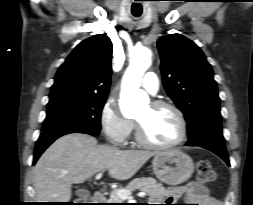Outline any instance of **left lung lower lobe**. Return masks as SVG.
<instances>
[{
  "label": "left lung lower lobe",
  "instance_id": "0a47b994",
  "mask_svg": "<svg viewBox=\"0 0 253 205\" xmlns=\"http://www.w3.org/2000/svg\"><path fill=\"white\" fill-rule=\"evenodd\" d=\"M192 146H199L207 150H210L216 155H218L219 157H221L228 165H230L228 154H227L224 143L217 142V141H205V142L192 145Z\"/></svg>",
  "mask_w": 253,
  "mask_h": 205
}]
</instances>
